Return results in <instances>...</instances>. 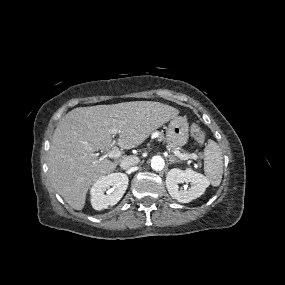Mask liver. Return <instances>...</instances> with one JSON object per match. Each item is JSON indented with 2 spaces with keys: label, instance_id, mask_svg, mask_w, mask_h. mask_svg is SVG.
I'll use <instances>...</instances> for the list:
<instances>
[{
  "label": "liver",
  "instance_id": "6515ba94",
  "mask_svg": "<svg viewBox=\"0 0 285 285\" xmlns=\"http://www.w3.org/2000/svg\"><path fill=\"white\" fill-rule=\"evenodd\" d=\"M179 111L153 101H133L112 105L79 107L58 123L48 158L49 177L59 195L75 210H82L90 186L111 173L121 159L99 157L113 145L110 130L120 132L117 144L132 149ZM126 157H123V159Z\"/></svg>",
  "mask_w": 285,
  "mask_h": 285
}]
</instances>
